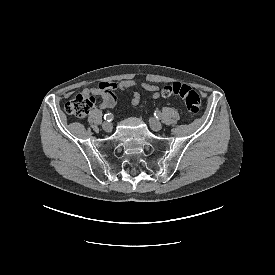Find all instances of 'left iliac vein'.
<instances>
[{"instance_id": "left-iliac-vein-1", "label": "left iliac vein", "mask_w": 275, "mask_h": 275, "mask_svg": "<svg viewBox=\"0 0 275 275\" xmlns=\"http://www.w3.org/2000/svg\"><path fill=\"white\" fill-rule=\"evenodd\" d=\"M149 124H150L151 129L154 131H160L162 129V124L160 123L159 120H157L155 118H150Z\"/></svg>"}]
</instances>
